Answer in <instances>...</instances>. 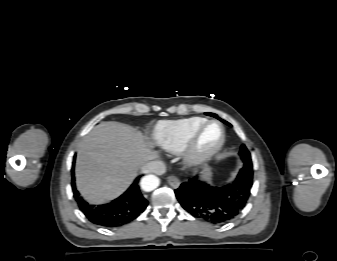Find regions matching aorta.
<instances>
[{
  "label": "aorta",
  "mask_w": 337,
  "mask_h": 261,
  "mask_svg": "<svg viewBox=\"0 0 337 261\" xmlns=\"http://www.w3.org/2000/svg\"><path fill=\"white\" fill-rule=\"evenodd\" d=\"M159 186V179L155 175H147L141 180V187L144 191L150 192Z\"/></svg>",
  "instance_id": "obj_1"
}]
</instances>
